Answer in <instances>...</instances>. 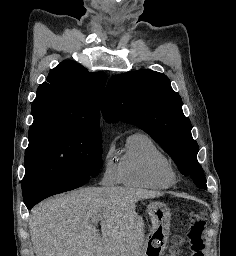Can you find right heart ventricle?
Listing matches in <instances>:
<instances>
[{
	"label": "right heart ventricle",
	"mask_w": 236,
	"mask_h": 256,
	"mask_svg": "<svg viewBox=\"0 0 236 256\" xmlns=\"http://www.w3.org/2000/svg\"><path fill=\"white\" fill-rule=\"evenodd\" d=\"M170 158L145 133L127 139L126 152L119 162L120 183L132 188L169 189L175 177L167 173Z\"/></svg>",
	"instance_id": "1"
}]
</instances>
